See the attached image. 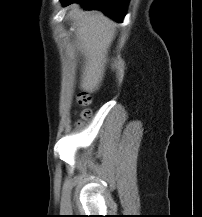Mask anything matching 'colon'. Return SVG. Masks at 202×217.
Returning <instances> with one entry per match:
<instances>
[{
	"mask_svg": "<svg viewBox=\"0 0 202 217\" xmlns=\"http://www.w3.org/2000/svg\"><path fill=\"white\" fill-rule=\"evenodd\" d=\"M90 103H91V97L88 94L81 93L78 95L77 104L82 108L79 113L80 116V120L78 122L79 125H81L83 121H85L90 117L91 112L88 109Z\"/></svg>",
	"mask_w": 202,
	"mask_h": 217,
	"instance_id": "1",
	"label": "colon"
}]
</instances>
